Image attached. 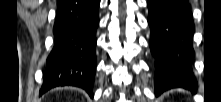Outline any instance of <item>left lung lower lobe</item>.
Listing matches in <instances>:
<instances>
[{
	"mask_svg": "<svg viewBox=\"0 0 221 102\" xmlns=\"http://www.w3.org/2000/svg\"><path fill=\"white\" fill-rule=\"evenodd\" d=\"M150 49L155 57V94L176 87L195 92V31L188 0H148Z\"/></svg>",
	"mask_w": 221,
	"mask_h": 102,
	"instance_id": "obj_1",
	"label": "left lung lower lobe"
}]
</instances>
